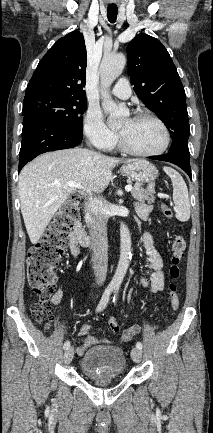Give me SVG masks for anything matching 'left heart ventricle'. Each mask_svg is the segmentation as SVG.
<instances>
[{
	"instance_id": "obj_1",
	"label": "left heart ventricle",
	"mask_w": 213,
	"mask_h": 433,
	"mask_svg": "<svg viewBox=\"0 0 213 433\" xmlns=\"http://www.w3.org/2000/svg\"><path fill=\"white\" fill-rule=\"evenodd\" d=\"M118 132L135 150L142 152L156 151L164 143L162 129L148 119H125L118 128Z\"/></svg>"
}]
</instances>
